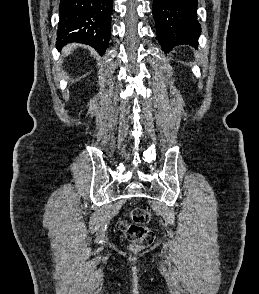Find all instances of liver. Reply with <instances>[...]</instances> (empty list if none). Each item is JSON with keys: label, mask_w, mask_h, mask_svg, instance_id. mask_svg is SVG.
Segmentation results:
<instances>
[{"label": "liver", "mask_w": 259, "mask_h": 294, "mask_svg": "<svg viewBox=\"0 0 259 294\" xmlns=\"http://www.w3.org/2000/svg\"><path fill=\"white\" fill-rule=\"evenodd\" d=\"M75 48H76V44H70V45L66 46L62 50L63 56L69 55Z\"/></svg>", "instance_id": "6515ba94"}]
</instances>
